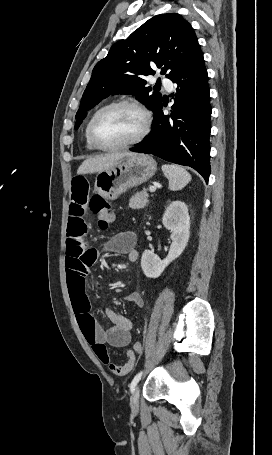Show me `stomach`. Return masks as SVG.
Returning a JSON list of instances; mask_svg holds the SVG:
<instances>
[{"instance_id": "obj_1", "label": "stomach", "mask_w": 272, "mask_h": 455, "mask_svg": "<svg viewBox=\"0 0 272 455\" xmlns=\"http://www.w3.org/2000/svg\"><path fill=\"white\" fill-rule=\"evenodd\" d=\"M156 170V162L151 156L134 154L115 167L99 172L94 190L105 200H115L126 190L146 182Z\"/></svg>"}]
</instances>
